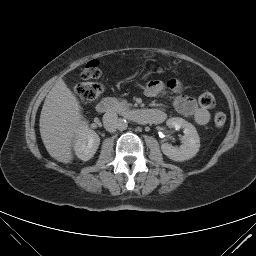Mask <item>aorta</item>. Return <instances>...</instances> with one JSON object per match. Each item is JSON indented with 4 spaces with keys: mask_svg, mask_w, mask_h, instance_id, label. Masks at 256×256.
Instances as JSON below:
<instances>
[{
    "mask_svg": "<svg viewBox=\"0 0 256 256\" xmlns=\"http://www.w3.org/2000/svg\"><path fill=\"white\" fill-rule=\"evenodd\" d=\"M127 127H128V122H127V120H125V119H120V120H119V124H118V129L122 131V130L127 129Z\"/></svg>",
    "mask_w": 256,
    "mask_h": 256,
    "instance_id": "762f6f07",
    "label": "aorta"
}]
</instances>
